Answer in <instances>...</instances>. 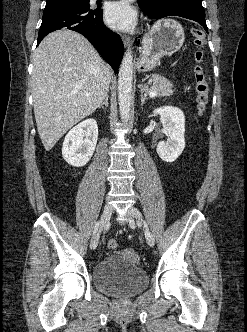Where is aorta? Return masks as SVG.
I'll list each match as a JSON object with an SVG mask.
<instances>
[{
    "instance_id": "aorta-1",
    "label": "aorta",
    "mask_w": 247,
    "mask_h": 332,
    "mask_svg": "<svg viewBox=\"0 0 247 332\" xmlns=\"http://www.w3.org/2000/svg\"><path fill=\"white\" fill-rule=\"evenodd\" d=\"M133 82V55L130 49L124 54L118 76V100L120 116L124 123L130 118Z\"/></svg>"
}]
</instances>
